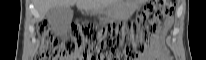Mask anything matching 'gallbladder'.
Segmentation results:
<instances>
[{"mask_svg":"<svg viewBox=\"0 0 206 60\" xmlns=\"http://www.w3.org/2000/svg\"><path fill=\"white\" fill-rule=\"evenodd\" d=\"M46 17L56 32L68 28L73 18V11L68 6H55L47 12Z\"/></svg>","mask_w":206,"mask_h":60,"instance_id":"bac80fb5","label":"gallbladder"}]
</instances>
